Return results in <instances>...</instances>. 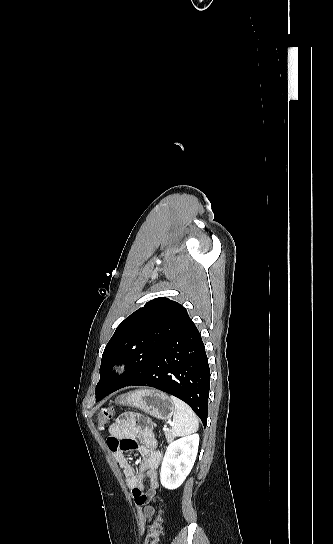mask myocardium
Wrapping results in <instances>:
<instances>
[{"instance_id":"obj_1","label":"myocardium","mask_w":333,"mask_h":544,"mask_svg":"<svg viewBox=\"0 0 333 544\" xmlns=\"http://www.w3.org/2000/svg\"><path fill=\"white\" fill-rule=\"evenodd\" d=\"M126 371V366L124 364H119L117 366H114L111 371H110V375L112 377H119L121 376L122 374H124V372Z\"/></svg>"}]
</instances>
